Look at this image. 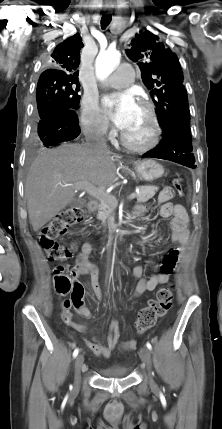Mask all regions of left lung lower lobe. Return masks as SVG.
<instances>
[{"instance_id":"left-lung-lower-lobe-1","label":"left lung lower lobe","mask_w":222,"mask_h":429,"mask_svg":"<svg viewBox=\"0 0 222 429\" xmlns=\"http://www.w3.org/2000/svg\"><path fill=\"white\" fill-rule=\"evenodd\" d=\"M162 135L161 142L145 153V157L170 160L192 169L196 168L190 124H175L163 131Z\"/></svg>"}]
</instances>
